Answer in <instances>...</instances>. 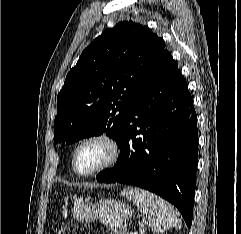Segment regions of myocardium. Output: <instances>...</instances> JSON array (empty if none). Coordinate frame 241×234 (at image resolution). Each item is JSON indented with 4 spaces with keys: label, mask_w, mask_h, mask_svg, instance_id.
<instances>
[{
    "label": "myocardium",
    "mask_w": 241,
    "mask_h": 234,
    "mask_svg": "<svg viewBox=\"0 0 241 234\" xmlns=\"http://www.w3.org/2000/svg\"><path fill=\"white\" fill-rule=\"evenodd\" d=\"M91 142L103 143L108 149V157L102 164H100L93 170L87 171V172H81L76 167V156H77L79 149L82 146H84L87 143H91ZM120 155H121L120 145L113 136H111L105 132L93 133V134H90V135L82 138L74 146V149H73L72 155H71V166H72L74 173L77 174L78 176L90 177V176H94V175L112 167L113 165H115L118 162Z\"/></svg>",
    "instance_id": "myocardium-1"
}]
</instances>
